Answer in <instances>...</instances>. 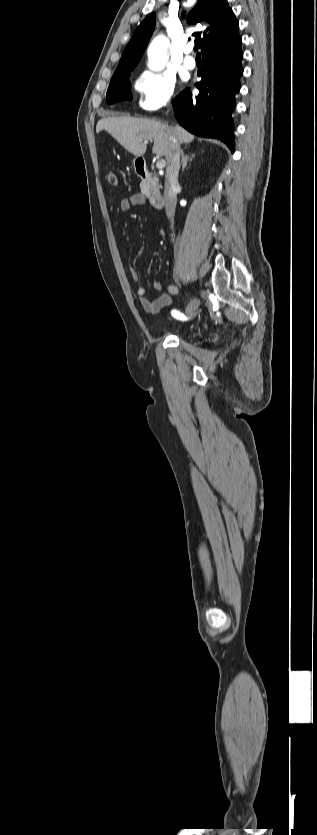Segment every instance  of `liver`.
<instances>
[{"mask_svg": "<svg viewBox=\"0 0 317 835\" xmlns=\"http://www.w3.org/2000/svg\"><path fill=\"white\" fill-rule=\"evenodd\" d=\"M102 130L137 157L145 154L149 140H154L152 152L157 156L168 154L171 135L176 136L179 143L189 144L194 140V135L179 125L171 127L155 120L130 116L104 117L96 126L97 133Z\"/></svg>", "mask_w": 317, "mask_h": 835, "instance_id": "obj_1", "label": "liver"}]
</instances>
